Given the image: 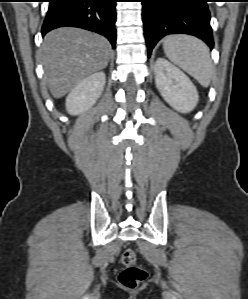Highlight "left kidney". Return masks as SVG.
I'll return each instance as SVG.
<instances>
[{"instance_id": "left-kidney-1", "label": "left kidney", "mask_w": 248, "mask_h": 299, "mask_svg": "<svg viewBox=\"0 0 248 299\" xmlns=\"http://www.w3.org/2000/svg\"><path fill=\"white\" fill-rule=\"evenodd\" d=\"M155 83L164 100L178 112L188 113L197 105L196 87L185 73L166 59L158 58L155 63Z\"/></svg>"}]
</instances>
